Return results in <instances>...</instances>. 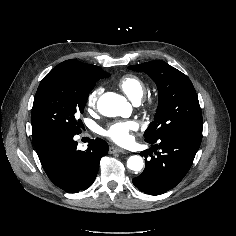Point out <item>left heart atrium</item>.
<instances>
[{"instance_id":"1","label":"left heart atrium","mask_w":236,"mask_h":236,"mask_svg":"<svg viewBox=\"0 0 236 236\" xmlns=\"http://www.w3.org/2000/svg\"><path fill=\"white\" fill-rule=\"evenodd\" d=\"M138 129L135 121H121L110 124L103 130V135L117 144L125 145L131 141V133Z\"/></svg>"}]
</instances>
